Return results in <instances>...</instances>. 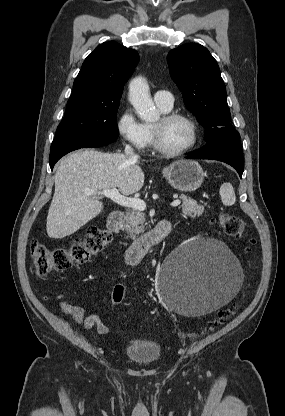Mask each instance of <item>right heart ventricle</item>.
<instances>
[{
  "instance_id": "obj_1",
  "label": "right heart ventricle",
  "mask_w": 285,
  "mask_h": 416,
  "mask_svg": "<svg viewBox=\"0 0 285 416\" xmlns=\"http://www.w3.org/2000/svg\"><path fill=\"white\" fill-rule=\"evenodd\" d=\"M160 109L161 110H163V111H168V109H164V108H162V107H160ZM146 126V129H147V131H148V134H149V140H150V143L152 142V133H151V126H149V125H145Z\"/></svg>"
}]
</instances>
